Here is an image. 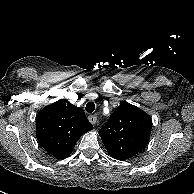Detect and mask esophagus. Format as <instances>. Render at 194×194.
<instances>
[{
	"instance_id": "34e87169",
	"label": "esophagus",
	"mask_w": 194,
	"mask_h": 194,
	"mask_svg": "<svg viewBox=\"0 0 194 194\" xmlns=\"http://www.w3.org/2000/svg\"><path fill=\"white\" fill-rule=\"evenodd\" d=\"M89 121L94 125L97 122V117L95 115H90L88 117Z\"/></svg>"
}]
</instances>
